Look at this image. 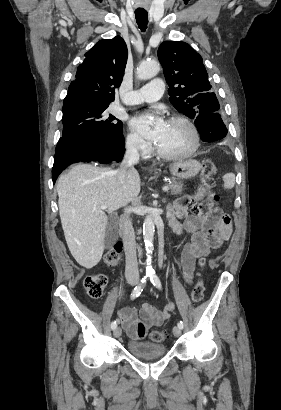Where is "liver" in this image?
<instances>
[{"instance_id":"1","label":"liver","mask_w":281,"mask_h":410,"mask_svg":"<svg viewBox=\"0 0 281 410\" xmlns=\"http://www.w3.org/2000/svg\"><path fill=\"white\" fill-rule=\"evenodd\" d=\"M140 177L134 169L122 184L115 171L91 164H76L57 183L59 214L68 248L81 266L90 269L101 260L108 217L136 199Z\"/></svg>"}]
</instances>
